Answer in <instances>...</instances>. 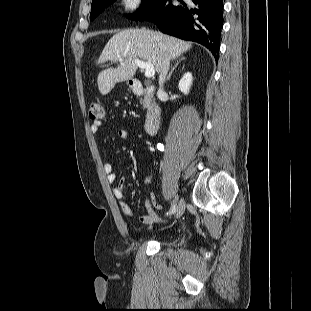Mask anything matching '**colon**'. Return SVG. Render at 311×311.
I'll return each mask as SVG.
<instances>
[{
    "mask_svg": "<svg viewBox=\"0 0 311 311\" xmlns=\"http://www.w3.org/2000/svg\"><path fill=\"white\" fill-rule=\"evenodd\" d=\"M104 114H105L104 106L100 101L94 100L89 104L88 115L92 121L102 120Z\"/></svg>",
    "mask_w": 311,
    "mask_h": 311,
    "instance_id": "obj_1",
    "label": "colon"
}]
</instances>
